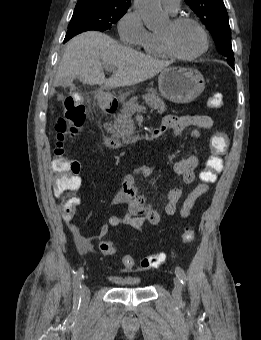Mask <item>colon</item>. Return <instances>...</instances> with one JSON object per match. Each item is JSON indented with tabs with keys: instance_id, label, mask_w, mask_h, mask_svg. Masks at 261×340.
<instances>
[{
	"instance_id": "obj_1",
	"label": "colon",
	"mask_w": 261,
	"mask_h": 340,
	"mask_svg": "<svg viewBox=\"0 0 261 340\" xmlns=\"http://www.w3.org/2000/svg\"><path fill=\"white\" fill-rule=\"evenodd\" d=\"M207 105L210 108H221L223 105V96L215 93L209 97ZM86 108L78 100L69 97L65 100L64 115L58 119L55 124L56 146L54 150V159L52 163L53 170V191L61 201V211L63 215H72L79 199L76 191L80 186L78 173L80 165L77 161L72 160L65 149V143L68 138L78 134L86 121ZM228 147V138L223 132H215L210 138V149L212 155L207 159L205 168L200 173V184L209 185L216 180L217 174L222 169L221 155L224 154ZM182 241L189 243L194 239V231L190 227H185L182 235ZM100 250L105 256H112L116 253V245L111 241H103L100 244ZM166 259L164 253H155L143 258L139 267L141 269H154L163 264ZM122 263L126 269H132L136 263L133 257L124 255Z\"/></svg>"
}]
</instances>
